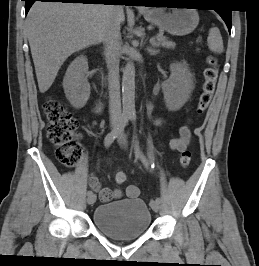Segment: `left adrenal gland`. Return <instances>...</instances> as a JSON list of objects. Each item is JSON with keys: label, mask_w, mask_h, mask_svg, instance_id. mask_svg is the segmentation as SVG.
<instances>
[{"label": "left adrenal gland", "mask_w": 259, "mask_h": 266, "mask_svg": "<svg viewBox=\"0 0 259 266\" xmlns=\"http://www.w3.org/2000/svg\"><path fill=\"white\" fill-rule=\"evenodd\" d=\"M147 51H148V53H149L150 55H156L157 53H159V50L155 49V47H154V48H152V47H148V48H147Z\"/></svg>", "instance_id": "1"}]
</instances>
